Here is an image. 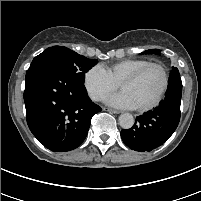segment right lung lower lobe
<instances>
[{
    "label": "right lung lower lobe",
    "instance_id": "1",
    "mask_svg": "<svg viewBox=\"0 0 201 201\" xmlns=\"http://www.w3.org/2000/svg\"><path fill=\"white\" fill-rule=\"evenodd\" d=\"M24 102L29 129L55 152L77 148L86 138L92 116L102 110L74 73L49 63L30 65Z\"/></svg>",
    "mask_w": 201,
    "mask_h": 201
}]
</instances>
